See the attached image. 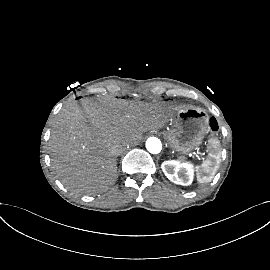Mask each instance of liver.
I'll use <instances>...</instances> for the list:
<instances>
[{
  "label": "liver",
  "mask_w": 270,
  "mask_h": 270,
  "mask_svg": "<svg viewBox=\"0 0 270 270\" xmlns=\"http://www.w3.org/2000/svg\"><path fill=\"white\" fill-rule=\"evenodd\" d=\"M162 104L122 99H85L62 110L50 138L53 168L71 188L93 191L115 181L121 144L161 128L168 120Z\"/></svg>",
  "instance_id": "6515ba94"
}]
</instances>
